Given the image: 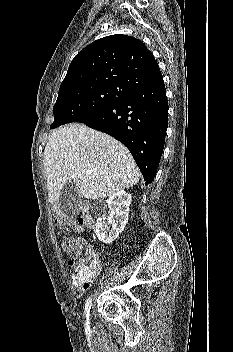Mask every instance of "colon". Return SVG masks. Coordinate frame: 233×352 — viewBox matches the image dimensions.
<instances>
[{
    "mask_svg": "<svg viewBox=\"0 0 233 352\" xmlns=\"http://www.w3.org/2000/svg\"><path fill=\"white\" fill-rule=\"evenodd\" d=\"M57 222L60 226L72 223L69 217L58 215ZM78 223L82 226L93 227L95 221L87 207H83L78 217ZM86 246V241L81 237H64L61 239L63 251L70 257H78ZM72 275L80 280H88L100 272L101 266L93 257H85L72 262Z\"/></svg>",
    "mask_w": 233,
    "mask_h": 352,
    "instance_id": "1",
    "label": "colon"
}]
</instances>
